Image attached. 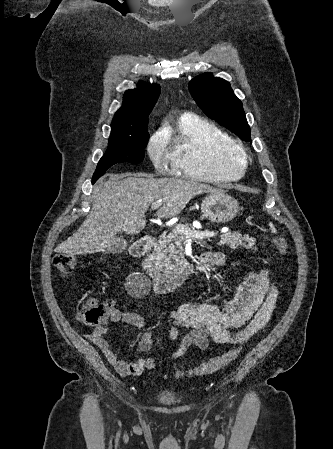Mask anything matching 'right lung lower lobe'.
Returning a JSON list of instances; mask_svg holds the SVG:
<instances>
[{
    "label": "right lung lower lobe",
    "instance_id": "obj_1",
    "mask_svg": "<svg viewBox=\"0 0 333 449\" xmlns=\"http://www.w3.org/2000/svg\"><path fill=\"white\" fill-rule=\"evenodd\" d=\"M97 180H92V183L94 184Z\"/></svg>",
    "mask_w": 333,
    "mask_h": 449
}]
</instances>
